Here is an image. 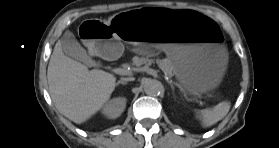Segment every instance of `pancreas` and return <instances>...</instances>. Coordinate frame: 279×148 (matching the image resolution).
Wrapping results in <instances>:
<instances>
[{"mask_svg": "<svg viewBox=\"0 0 279 148\" xmlns=\"http://www.w3.org/2000/svg\"><path fill=\"white\" fill-rule=\"evenodd\" d=\"M154 60L153 59H149V58H143V57H134L133 58V63L136 66L142 65V64H151L153 63ZM156 63L160 66V68H162L164 70V72L169 75L172 76L173 75V65L172 62L169 59H157Z\"/></svg>", "mask_w": 279, "mask_h": 148, "instance_id": "cf45deb5", "label": "pancreas"}]
</instances>
